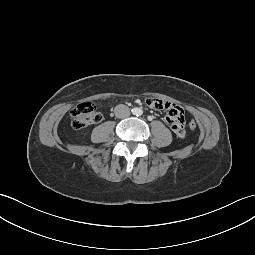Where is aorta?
I'll use <instances>...</instances> for the list:
<instances>
[{"label":"aorta","mask_w":255,"mask_h":255,"mask_svg":"<svg viewBox=\"0 0 255 255\" xmlns=\"http://www.w3.org/2000/svg\"><path fill=\"white\" fill-rule=\"evenodd\" d=\"M133 113H134L135 115H139V114L141 113V110L138 109V108H135L134 111H133Z\"/></svg>","instance_id":"762f6f07"}]
</instances>
